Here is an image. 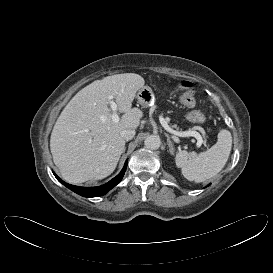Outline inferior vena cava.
Segmentation results:
<instances>
[{"mask_svg":"<svg viewBox=\"0 0 273 273\" xmlns=\"http://www.w3.org/2000/svg\"><path fill=\"white\" fill-rule=\"evenodd\" d=\"M120 135L124 140L128 141V140H131L134 137L135 130L134 129H125V130L120 132Z\"/></svg>","mask_w":273,"mask_h":273,"instance_id":"obj_1","label":"inferior vena cava"}]
</instances>
